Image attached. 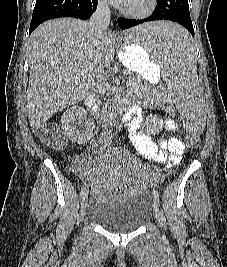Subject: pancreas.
<instances>
[{"mask_svg": "<svg viewBox=\"0 0 227 267\" xmlns=\"http://www.w3.org/2000/svg\"><path fill=\"white\" fill-rule=\"evenodd\" d=\"M129 88L136 92V93H141L144 91H149L151 89V87L149 85H147L146 83H143L141 81V79L137 78V79H130L129 83H128Z\"/></svg>", "mask_w": 227, "mask_h": 267, "instance_id": "pancreas-1", "label": "pancreas"}]
</instances>
